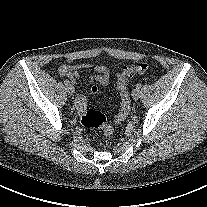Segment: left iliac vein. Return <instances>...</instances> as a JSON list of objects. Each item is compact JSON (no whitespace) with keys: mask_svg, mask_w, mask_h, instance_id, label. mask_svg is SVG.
Instances as JSON below:
<instances>
[{"mask_svg":"<svg viewBox=\"0 0 207 207\" xmlns=\"http://www.w3.org/2000/svg\"><path fill=\"white\" fill-rule=\"evenodd\" d=\"M140 90L138 88H135L133 91H132V98L134 100H138L140 98Z\"/></svg>","mask_w":207,"mask_h":207,"instance_id":"left-iliac-vein-1","label":"left iliac vein"}]
</instances>
